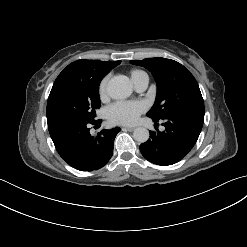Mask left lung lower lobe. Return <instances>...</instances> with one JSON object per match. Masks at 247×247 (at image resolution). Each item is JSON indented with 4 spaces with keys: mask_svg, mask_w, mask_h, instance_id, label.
I'll use <instances>...</instances> for the list:
<instances>
[{
    "mask_svg": "<svg viewBox=\"0 0 247 247\" xmlns=\"http://www.w3.org/2000/svg\"><path fill=\"white\" fill-rule=\"evenodd\" d=\"M203 120L204 116L191 113L173 114L160 120L165 130L161 132L156 129L157 131L150 132V139L140 145L143 157L162 166L177 163L195 145Z\"/></svg>",
    "mask_w": 247,
    "mask_h": 247,
    "instance_id": "obj_1",
    "label": "left lung lower lobe"
}]
</instances>
